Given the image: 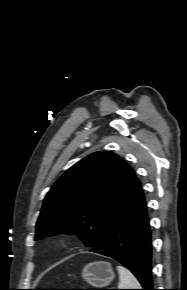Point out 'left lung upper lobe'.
Segmentation results:
<instances>
[{
  "label": "left lung upper lobe",
  "instance_id": "1",
  "mask_svg": "<svg viewBox=\"0 0 187 290\" xmlns=\"http://www.w3.org/2000/svg\"><path fill=\"white\" fill-rule=\"evenodd\" d=\"M133 169L110 152H95L67 170L47 193L35 240L76 234L91 249L108 235L140 189Z\"/></svg>",
  "mask_w": 187,
  "mask_h": 290
}]
</instances>
